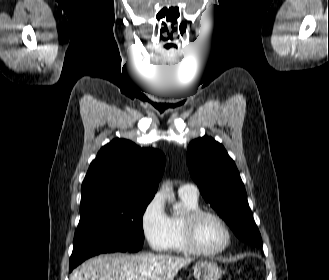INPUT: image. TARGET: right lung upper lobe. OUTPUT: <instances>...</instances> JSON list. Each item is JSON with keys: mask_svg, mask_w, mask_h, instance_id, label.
<instances>
[{"mask_svg": "<svg viewBox=\"0 0 329 280\" xmlns=\"http://www.w3.org/2000/svg\"><path fill=\"white\" fill-rule=\"evenodd\" d=\"M164 164L161 151L114 139L90 164L82 183L81 205L120 196L154 197Z\"/></svg>", "mask_w": 329, "mask_h": 280, "instance_id": "right-lung-upper-lobe-1", "label": "right lung upper lobe"}]
</instances>
